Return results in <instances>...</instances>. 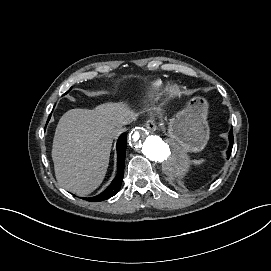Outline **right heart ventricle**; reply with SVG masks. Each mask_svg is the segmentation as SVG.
<instances>
[{
	"mask_svg": "<svg viewBox=\"0 0 271 271\" xmlns=\"http://www.w3.org/2000/svg\"><path fill=\"white\" fill-rule=\"evenodd\" d=\"M167 88V83L163 80H156L147 87L148 91L153 94H162Z\"/></svg>",
	"mask_w": 271,
	"mask_h": 271,
	"instance_id": "1",
	"label": "right heart ventricle"
}]
</instances>
